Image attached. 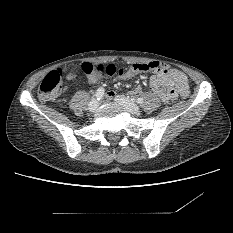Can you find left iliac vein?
<instances>
[{
	"label": "left iliac vein",
	"mask_w": 233,
	"mask_h": 233,
	"mask_svg": "<svg viewBox=\"0 0 233 233\" xmlns=\"http://www.w3.org/2000/svg\"><path fill=\"white\" fill-rule=\"evenodd\" d=\"M115 101L122 105L129 113L136 114L140 111V108L135 103L131 102L128 98L122 95L115 97Z\"/></svg>",
	"instance_id": "4c4485c4"
}]
</instances>
